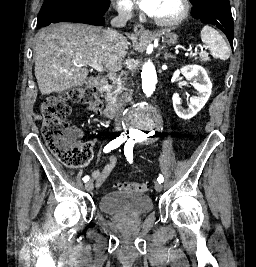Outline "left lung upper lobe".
Returning <instances> with one entry per match:
<instances>
[{"instance_id":"1","label":"left lung upper lobe","mask_w":256,"mask_h":267,"mask_svg":"<svg viewBox=\"0 0 256 267\" xmlns=\"http://www.w3.org/2000/svg\"><path fill=\"white\" fill-rule=\"evenodd\" d=\"M194 14L202 22L214 25L222 30L233 47L234 24L229 0H190Z\"/></svg>"}]
</instances>
